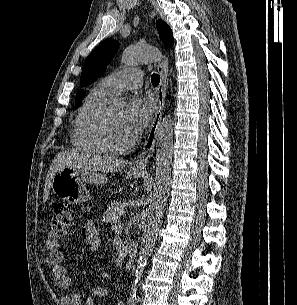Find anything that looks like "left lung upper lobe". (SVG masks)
<instances>
[{"label": "left lung upper lobe", "mask_w": 297, "mask_h": 305, "mask_svg": "<svg viewBox=\"0 0 297 305\" xmlns=\"http://www.w3.org/2000/svg\"><path fill=\"white\" fill-rule=\"evenodd\" d=\"M159 37L161 41L171 47L174 44V38L170 27L162 20L156 22ZM119 48L118 41L107 39L101 42L92 53L86 58L83 65L80 86L85 87L100 77L106 70L107 65L114 57ZM85 95L84 91L78 92L75 98L76 108L81 104Z\"/></svg>", "instance_id": "5c2ea615"}]
</instances>
